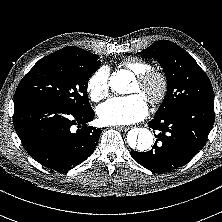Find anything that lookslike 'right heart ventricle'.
I'll list each match as a JSON object with an SVG mask.
<instances>
[{"mask_svg":"<svg viewBox=\"0 0 222 222\" xmlns=\"http://www.w3.org/2000/svg\"><path fill=\"white\" fill-rule=\"evenodd\" d=\"M122 65L136 75L152 69L149 63L137 58L127 59L123 61Z\"/></svg>","mask_w":222,"mask_h":222,"instance_id":"obj_1","label":"right heart ventricle"}]
</instances>
